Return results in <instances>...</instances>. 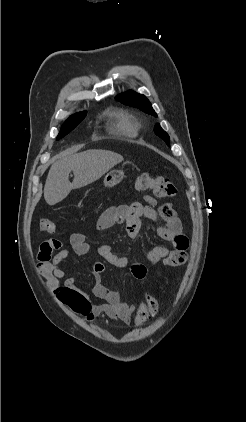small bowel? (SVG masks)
I'll list each match as a JSON object with an SVG mask.
<instances>
[{"label":"small bowel","instance_id":"1","mask_svg":"<svg viewBox=\"0 0 246 422\" xmlns=\"http://www.w3.org/2000/svg\"><path fill=\"white\" fill-rule=\"evenodd\" d=\"M145 204L136 202L131 205L111 206L100 216L97 228L104 231L118 224H123L126 234L136 239L139 235L140 226L144 219L157 222L164 221L163 225L157 227L158 236L172 244V250L166 246L156 245L150 248L145 254V260L149 265H155L163 260L173 250H184L188 248V238L182 230L181 222L170 203L157 207V201L152 196L144 197ZM73 252L82 256L90 251L86 235L73 233L69 239ZM98 254L109 264L117 268L130 265L131 272L135 278L142 279L147 274V267L142 263H130L128 257L116 255L109 245H101ZM69 256V250L62 247L57 239H49L40 245L38 258V271L46 279L48 286L52 289L56 298L73 311L83 315L88 321L100 315H106L110 319L120 320L129 323L135 311L133 303L121 299L118 291L110 289L103 284L102 273L104 264L95 262L94 276L95 285L93 293L102 299L104 303L94 304L88 296L76 285L73 277L65 278L66 272L60 264Z\"/></svg>","mask_w":246,"mask_h":422}]
</instances>
